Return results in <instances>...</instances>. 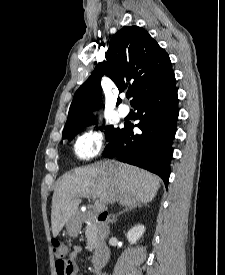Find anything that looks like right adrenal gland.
I'll use <instances>...</instances> for the list:
<instances>
[{
  "instance_id": "obj_1",
  "label": "right adrenal gland",
  "mask_w": 225,
  "mask_h": 275,
  "mask_svg": "<svg viewBox=\"0 0 225 275\" xmlns=\"http://www.w3.org/2000/svg\"><path fill=\"white\" fill-rule=\"evenodd\" d=\"M136 207V204H132V205H129V206H126L125 209L123 211H121L117 216H119L120 214L128 211V210H132L133 208Z\"/></svg>"
}]
</instances>
